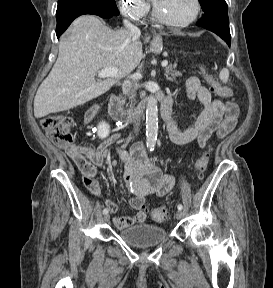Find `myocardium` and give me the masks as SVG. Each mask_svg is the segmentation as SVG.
Wrapping results in <instances>:
<instances>
[{"mask_svg": "<svg viewBox=\"0 0 273 288\" xmlns=\"http://www.w3.org/2000/svg\"><path fill=\"white\" fill-rule=\"evenodd\" d=\"M194 3H195L194 13L192 14V16L190 18H188L187 20H184V21H172V20L165 18L159 12V10L156 8L155 4H153V15H154V18L156 19V21H158L159 23H161L163 25H166L169 27H175V28L186 27V26L190 25L191 23H193L198 18L199 14H200V10H201L200 0H194Z\"/></svg>", "mask_w": 273, "mask_h": 288, "instance_id": "myocardium-1", "label": "myocardium"}]
</instances>
